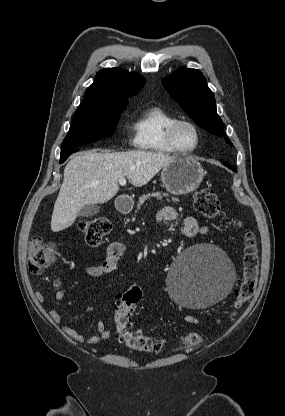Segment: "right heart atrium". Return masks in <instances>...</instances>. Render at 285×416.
Wrapping results in <instances>:
<instances>
[{
    "label": "right heart atrium",
    "mask_w": 285,
    "mask_h": 416,
    "mask_svg": "<svg viewBox=\"0 0 285 416\" xmlns=\"http://www.w3.org/2000/svg\"><path fill=\"white\" fill-rule=\"evenodd\" d=\"M128 142L130 145H135V135L133 133L128 135Z\"/></svg>",
    "instance_id": "1"
}]
</instances>
